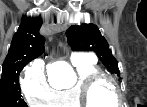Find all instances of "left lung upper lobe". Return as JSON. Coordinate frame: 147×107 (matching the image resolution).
Returning a JSON list of instances; mask_svg holds the SVG:
<instances>
[{
  "mask_svg": "<svg viewBox=\"0 0 147 107\" xmlns=\"http://www.w3.org/2000/svg\"><path fill=\"white\" fill-rule=\"evenodd\" d=\"M68 44L73 50L94 51L101 62L112 73L120 76L118 62L112 55L106 39L94 24L72 25L66 31Z\"/></svg>",
  "mask_w": 147,
  "mask_h": 107,
  "instance_id": "1",
  "label": "left lung upper lobe"
}]
</instances>
